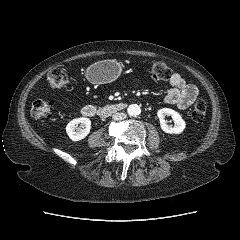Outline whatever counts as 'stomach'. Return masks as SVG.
<instances>
[{
    "label": "stomach",
    "instance_id": "stomach-1",
    "mask_svg": "<svg viewBox=\"0 0 240 240\" xmlns=\"http://www.w3.org/2000/svg\"><path fill=\"white\" fill-rule=\"evenodd\" d=\"M120 65L111 60L99 61L87 69V77L93 83H110L118 78Z\"/></svg>",
    "mask_w": 240,
    "mask_h": 240
}]
</instances>
